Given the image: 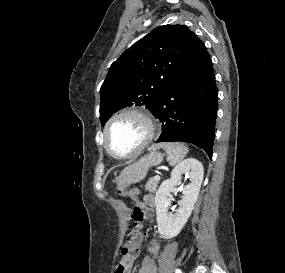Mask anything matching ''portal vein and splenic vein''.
<instances>
[{"instance_id": "1", "label": "portal vein and splenic vein", "mask_w": 285, "mask_h": 273, "mask_svg": "<svg viewBox=\"0 0 285 273\" xmlns=\"http://www.w3.org/2000/svg\"><path fill=\"white\" fill-rule=\"evenodd\" d=\"M154 179L159 180V179H160V176H159V175H155V176H154Z\"/></svg>"}]
</instances>
